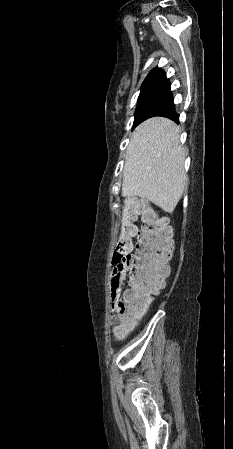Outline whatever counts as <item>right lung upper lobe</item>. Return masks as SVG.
Here are the masks:
<instances>
[{
  "instance_id": "right-lung-upper-lobe-1",
  "label": "right lung upper lobe",
  "mask_w": 233,
  "mask_h": 449,
  "mask_svg": "<svg viewBox=\"0 0 233 449\" xmlns=\"http://www.w3.org/2000/svg\"><path fill=\"white\" fill-rule=\"evenodd\" d=\"M161 90H170V82L166 78L165 72L161 68L155 67L145 78L140 94Z\"/></svg>"
}]
</instances>
